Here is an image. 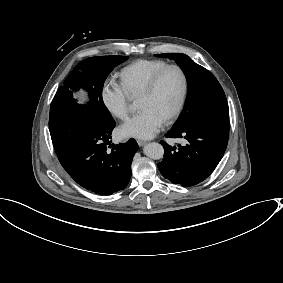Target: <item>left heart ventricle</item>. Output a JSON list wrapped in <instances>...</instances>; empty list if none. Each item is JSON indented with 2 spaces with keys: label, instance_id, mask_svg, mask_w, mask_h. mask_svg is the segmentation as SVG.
I'll list each match as a JSON object with an SVG mask.
<instances>
[{
  "label": "left heart ventricle",
  "instance_id": "1",
  "mask_svg": "<svg viewBox=\"0 0 283 283\" xmlns=\"http://www.w3.org/2000/svg\"><path fill=\"white\" fill-rule=\"evenodd\" d=\"M181 88L179 72L171 69L164 74L152 94L139 96L138 109L149 108L165 118L175 107Z\"/></svg>",
  "mask_w": 283,
  "mask_h": 283
}]
</instances>
